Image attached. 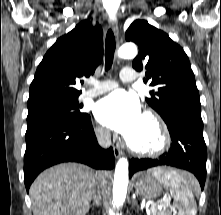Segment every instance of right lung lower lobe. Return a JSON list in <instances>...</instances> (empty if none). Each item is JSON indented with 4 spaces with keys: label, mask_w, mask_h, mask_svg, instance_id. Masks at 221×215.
<instances>
[{
    "label": "right lung lower lobe",
    "mask_w": 221,
    "mask_h": 215,
    "mask_svg": "<svg viewBox=\"0 0 221 215\" xmlns=\"http://www.w3.org/2000/svg\"><path fill=\"white\" fill-rule=\"evenodd\" d=\"M24 183L27 192L44 169L62 162H80L96 169H112V148L102 149L88 114L82 117L53 116L27 126Z\"/></svg>",
    "instance_id": "1"
}]
</instances>
